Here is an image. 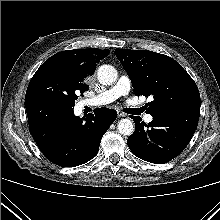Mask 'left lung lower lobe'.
<instances>
[{
	"mask_svg": "<svg viewBox=\"0 0 220 220\" xmlns=\"http://www.w3.org/2000/svg\"><path fill=\"white\" fill-rule=\"evenodd\" d=\"M200 108H177L152 114L146 125L132 117L135 131L127 144L138 158L155 163H167L178 156L191 140L199 121Z\"/></svg>",
	"mask_w": 220,
	"mask_h": 220,
	"instance_id": "left-lung-lower-lobe-1",
	"label": "left lung lower lobe"
}]
</instances>
